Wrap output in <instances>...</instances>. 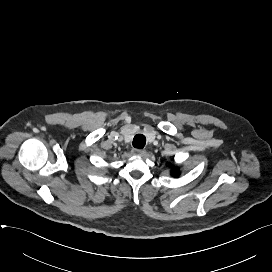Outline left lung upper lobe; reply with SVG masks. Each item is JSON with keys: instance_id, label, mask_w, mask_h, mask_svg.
I'll list each match as a JSON object with an SVG mask.
<instances>
[{"instance_id": "1", "label": "left lung upper lobe", "mask_w": 272, "mask_h": 272, "mask_svg": "<svg viewBox=\"0 0 272 272\" xmlns=\"http://www.w3.org/2000/svg\"><path fill=\"white\" fill-rule=\"evenodd\" d=\"M172 175H173L174 177H178V176H179V171H178V170H174V171L172 172Z\"/></svg>"}]
</instances>
